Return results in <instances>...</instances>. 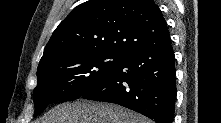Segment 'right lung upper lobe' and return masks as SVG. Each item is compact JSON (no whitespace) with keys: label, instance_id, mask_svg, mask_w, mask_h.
<instances>
[{"label":"right lung upper lobe","instance_id":"cb5924a9","mask_svg":"<svg viewBox=\"0 0 221 123\" xmlns=\"http://www.w3.org/2000/svg\"><path fill=\"white\" fill-rule=\"evenodd\" d=\"M169 38L166 21L153 0H89L58 25L39 66L84 51L127 54Z\"/></svg>","mask_w":221,"mask_h":123}]
</instances>
